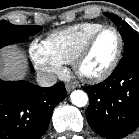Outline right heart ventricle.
<instances>
[{
	"instance_id": "1",
	"label": "right heart ventricle",
	"mask_w": 139,
	"mask_h": 139,
	"mask_svg": "<svg viewBox=\"0 0 139 139\" xmlns=\"http://www.w3.org/2000/svg\"><path fill=\"white\" fill-rule=\"evenodd\" d=\"M103 25L84 22L55 31L48 35L44 44L50 53L63 64H71L89 36Z\"/></svg>"
}]
</instances>
